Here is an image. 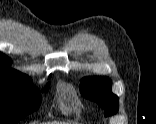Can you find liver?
<instances>
[{
  "label": "liver",
  "instance_id": "obj_1",
  "mask_svg": "<svg viewBox=\"0 0 156 124\" xmlns=\"http://www.w3.org/2000/svg\"><path fill=\"white\" fill-rule=\"evenodd\" d=\"M47 124H67L65 122H59V121H53V122H49Z\"/></svg>",
  "mask_w": 156,
  "mask_h": 124
}]
</instances>
